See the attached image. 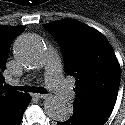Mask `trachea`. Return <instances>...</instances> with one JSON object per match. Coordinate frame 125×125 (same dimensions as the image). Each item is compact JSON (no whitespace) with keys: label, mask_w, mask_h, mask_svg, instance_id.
<instances>
[{"label":"trachea","mask_w":125,"mask_h":125,"mask_svg":"<svg viewBox=\"0 0 125 125\" xmlns=\"http://www.w3.org/2000/svg\"><path fill=\"white\" fill-rule=\"evenodd\" d=\"M14 88L17 89V90H20V91L34 92V93H41V94H44V93L47 92L42 87H31V86H27V85H25V86H16Z\"/></svg>","instance_id":"obj_1"}]
</instances>
